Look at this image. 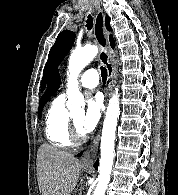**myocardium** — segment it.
<instances>
[{"label":"myocardium","instance_id":"f54148a6","mask_svg":"<svg viewBox=\"0 0 178 195\" xmlns=\"http://www.w3.org/2000/svg\"><path fill=\"white\" fill-rule=\"evenodd\" d=\"M70 127H69V135L72 143L81 144L86 140V136L79 132L74 120L72 117L69 118Z\"/></svg>","mask_w":178,"mask_h":195}]
</instances>
